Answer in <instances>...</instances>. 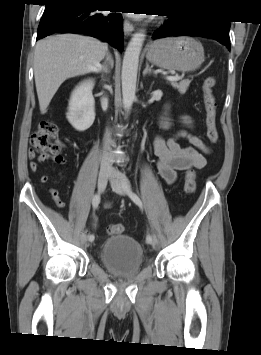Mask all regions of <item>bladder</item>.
<instances>
[{
  "label": "bladder",
  "instance_id": "31cf9c89",
  "mask_svg": "<svg viewBox=\"0 0 261 355\" xmlns=\"http://www.w3.org/2000/svg\"><path fill=\"white\" fill-rule=\"evenodd\" d=\"M100 260L105 268L121 279L138 275L144 255L140 243L131 236L113 235L105 239L100 249Z\"/></svg>",
  "mask_w": 261,
  "mask_h": 355
}]
</instances>
